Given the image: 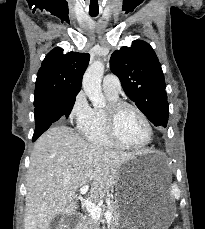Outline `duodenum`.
I'll return each instance as SVG.
<instances>
[{
	"label": "duodenum",
	"mask_w": 205,
	"mask_h": 229,
	"mask_svg": "<svg viewBox=\"0 0 205 229\" xmlns=\"http://www.w3.org/2000/svg\"><path fill=\"white\" fill-rule=\"evenodd\" d=\"M80 220H81V217L79 216V217H77V219H76V223H79L80 222Z\"/></svg>",
	"instance_id": "1"
}]
</instances>
